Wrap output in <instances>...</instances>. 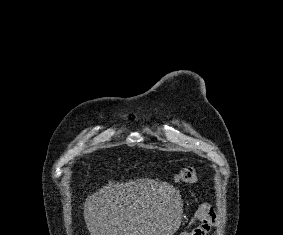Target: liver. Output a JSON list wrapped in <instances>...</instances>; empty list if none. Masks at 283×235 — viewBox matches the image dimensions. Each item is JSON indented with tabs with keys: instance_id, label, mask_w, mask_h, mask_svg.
Segmentation results:
<instances>
[{
	"instance_id": "1",
	"label": "liver",
	"mask_w": 283,
	"mask_h": 235,
	"mask_svg": "<svg viewBox=\"0 0 283 235\" xmlns=\"http://www.w3.org/2000/svg\"><path fill=\"white\" fill-rule=\"evenodd\" d=\"M179 191L149 178L109 182L88 196L84 219L90 235H171L180 225Z\"/></svg>"
}]
</instances>
